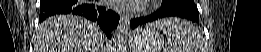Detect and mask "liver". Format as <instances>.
Masks as SVG:
<instances>
[{
    "mask_svg": "<svg viewBox=\"0 0 261 52\" xmlns=\"http://www.w3.org/2000/svg\"><path fill=\"white\" fill-rule=\"evenodd\" d=\"M35 52H102V32L97 24L74 15H57L38 27Z\"/></svg>",
    "mask_w": 261,
    "mask_h": 52,
    "instance_id": "6515ba94",
    "label": "liver"
}]
</instances>
